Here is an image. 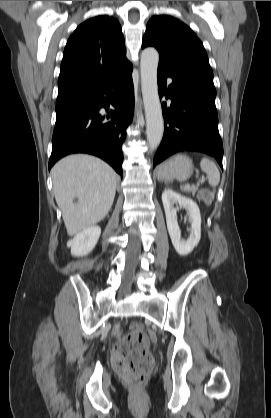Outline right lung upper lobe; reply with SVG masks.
<instances>
[{"label":"right lung upper lobe","instance_id":"cb5924a9","mask_svg":"<svg viewBox=\"0 0 271 418\" xmlns=\"http://www.w3.org/2000/svg\"><path fill=\"white\" fill-rule=\"evenodd\" d=\"M130 67L118 20L106 15L91 18L77 27L66 44L56 104L91 97Z\"/></svg>","mask_w":271,"mask_h":418}]
</instances>
